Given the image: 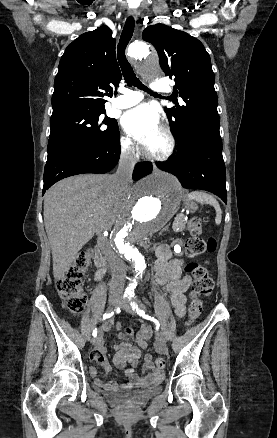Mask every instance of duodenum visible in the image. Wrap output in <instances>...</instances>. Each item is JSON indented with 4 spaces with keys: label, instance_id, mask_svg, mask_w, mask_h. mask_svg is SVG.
Masks as SVG:
<instances>
[{
    "label": "duodenum",
    "instance_id": "410a0bca",
    "mask_svg": "<svg viewBox=\"0 0 277 438\" xmlns=\"http://www.w3.org/2000/svg\"><path fill=\"white\" fill-rule=\"evenodd\" d=\"M96 266L98 267L97 278H101L105 271V259L99 250L96 252Z\"/></svg>",
    "mask_w": 277,
    "mask_h": 438
}]
</instances>
